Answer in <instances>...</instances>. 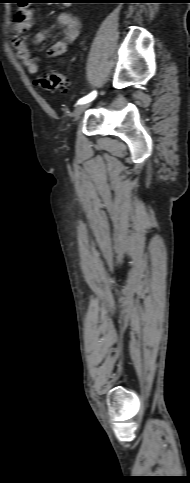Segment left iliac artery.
Segmentation results:
<instances>
[{
  "instance_id": "44dca946",
  "label": "left iliac artery",
  "mask_w": 190,
  "mask_h": 483,
  "mask_svg": "<svg viewBox=\"0 0 190 483\" xmlns=\"http://www.w3.org/2000/svg\"><path fill=\"white\" fill-rule=\"evenodd\" d=\"M97 95V92L96 91H93L91 92L90 94H88L87 96L81 98L80 100H78L77 104H85V103H88L90 101H92Z\"/></svg>"
}]
</instances>
